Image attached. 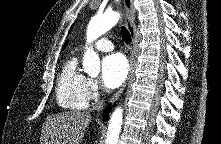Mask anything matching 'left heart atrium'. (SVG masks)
I'll use <instances>...</instances> for the list:
<instances>
[{"label": "left heart atrium", "mask_w": 221, "mask_h": 144, "mask_svg": "<svg viewBox=\"0 0 221 144\" xmlns=\"http://www.w3.org/2000/svg\"><path fill=\"white\" fill-rule=\"evenodd\" d=\"M128 64L120 53L107 55L102 61V80L104 85L113 89L120 86L126 79Z\"/></svg>", "instance_id": "39dd6f15"}]
</instances>
